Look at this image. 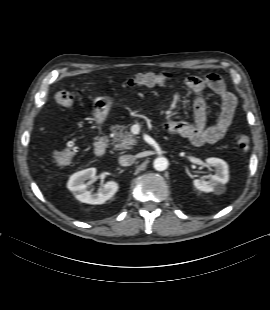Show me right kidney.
<instances>
[{"label":"right kidney","mask_w":270,"mask_h":310,"mask_svg":"<svg viewBox=\"0 0 270 310\" xmlns=\"http://www.w3.org/2000/svg\"><path fill=\"white\" fill-rule=\"evenodd\" d=\"M96 175V168H88L74 173L70 176L67 188L74 192L76 199L87 204H103L118 190V184L114 181L106 182L97 193H91L86 189V181L93 179Z\"/></svg>","instance_id":"ca27d5eb"}]
</instances>
